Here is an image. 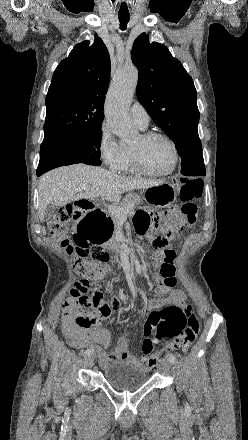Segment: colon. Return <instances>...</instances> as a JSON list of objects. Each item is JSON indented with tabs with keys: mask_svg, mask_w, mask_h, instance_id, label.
Instances as JSON below:
<instances>
[{
	"mask_svg": "<svg viewBox=\"0 0 248 440\" xmlns=\"http://www.w3.org/2000/svg\"><path fill=\"white\" fill-rule=\"evenodd\" d=\"M202 193V184L196 179H181L180 198L182 205L177 217L172 218L159 234L153 236L151 247L156 257H172L175 263L176 254L172 242L177 239L183 228L191 226L196 220L197 206L194 202ZM74 218H84L83 210L68 204L59 208L48 223L51 236L58 241L73 257V268L81 279L70 291V300L80 309L96 307L101 300L98 286L93 280L104 279L109 271V255L101 246H88L87 241L69 240ZM76 324L86 327L90 319L80 313L74 318ZM200 328L199 319L186 308L168 305L152 311L143 327L144 339L141 344L147 363L154 367L158 362V354L153 351L155 343L163 338L169 339L171 351L185 352L194 342Z\"/></svg>",
	"mask_w": 248,
	"mask_h": 440,
	"instance_id": "5ec220e1",
	"label": "colon"
}]
</instances>
